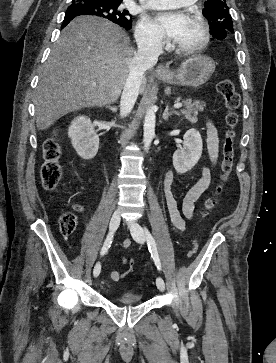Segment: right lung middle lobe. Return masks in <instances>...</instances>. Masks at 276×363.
Masks as SVG:
<instances>
[{"mask_svg": "<svg viewBox=\"0 0 276 363\" xmlns=\"http://www.w3.org/2000/svg\"><path fill=\"white\" fill-rule=\"evenodd\" d=\"M119 6L120 3L103 0H73L65 15L82 12L87 15L107 18L124 28L131 27L132 21L129 19L130 14L125 10L122 13L119 10Z\"/></svg>", "mask_w": 276, "mask_h": 363, "instance_id": "obj_1", "label": "right lung middle lobe"}]
</instances>
